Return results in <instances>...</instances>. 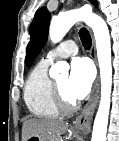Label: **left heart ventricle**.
<instances>
[{
  "mask_svg": "<svg viewBox=\"0 0 119 141\" xmlns=\"http://www.w3.org/2000/svg\"><path fill=\"white\" fill-rule=\"evenodd\" d=\"M67 76H63L59 79H57L55 82L58 85V88L62 94V96L64 97V99L68 102H73L74 100L68 95L66 87H67Z\"/></svg>",
  "mask_w": 119,
  "mask_h": 141,
  "instance_id": "b2bd125f",
  "label": "left heart ventricle"
}]
</instances>
